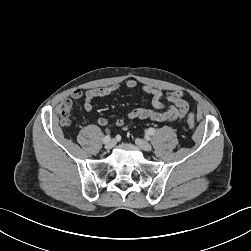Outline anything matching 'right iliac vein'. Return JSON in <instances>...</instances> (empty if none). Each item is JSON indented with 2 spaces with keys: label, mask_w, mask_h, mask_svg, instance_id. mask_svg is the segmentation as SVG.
I'll return each mask as SVG.
<instances>
[{
  "label": "right iliac vein",
  "mask_w": 251,
  "mask_h": 251,
  "mask_svg": "<svg viewBox=\"0 0 251 251\" xmlns=\"http://www.w3.org/2000/svg\"><path fill=\"white\" fill-rule=\"evenodd\" d=\"M115 146V141L114 140H110L108 143H106L105 145V149L110 150Z\"/></svg>",
  "instance_id": "63e3f726"
}]
</instances>
